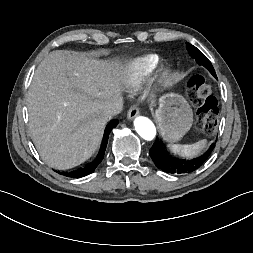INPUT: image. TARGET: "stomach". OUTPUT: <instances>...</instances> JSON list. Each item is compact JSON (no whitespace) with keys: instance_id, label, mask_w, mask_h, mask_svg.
<instances>
[{"instance_id":"1","label":"stomach","mask_w":253,"mask_h":253,"mask_svg":"<svg viewBox=\"0 0 253 253\" xmlns=\"http://www.w3.org/2000/svg\"><path fill=\"white\" fill-rule=\"evenodd\" d=\"M156 119L164 139L176 142L190 129L193 114L188 102L181 95L168 93L160 98Z\"/></svg>"}]
</instances>
